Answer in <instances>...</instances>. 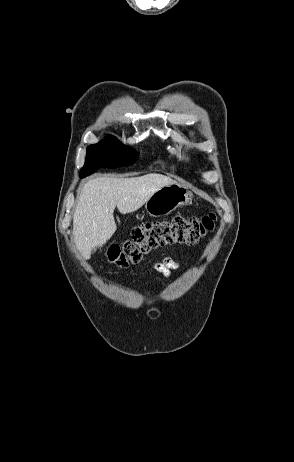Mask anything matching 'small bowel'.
<instances>
[{
  "label": "small bowel",
  "mask_w": 294,
  "mask_h": 462,
  "mask_svg": "<svg viewBox=\"0 0 294 462\" xmlns=\"http://www.w3.org/2000/svg\"><path fill=\"white\" fill-rule=\"evenodd\" d=\"M178 262L170 257H164L160 261L152 264V268L162 274L164 277H170L172 271L178 269Z\"/></svg>",
  "instance_id": "1"
}]
</instances>
